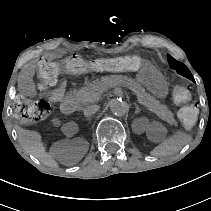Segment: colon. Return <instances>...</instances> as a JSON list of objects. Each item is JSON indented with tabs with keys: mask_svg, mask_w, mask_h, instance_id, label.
Listing matches in <instances>:
<instances>
[{
	"mask_svg": "<svg viewBox=\"0 0 211 211\" xmlns=\"http://www.w3.org/2000/svg\"><path fill=\"white\" fill-rule=\"evenodd\" d=\"M152 70V64L138 55H124L111 58L87 60L78 56L62 60L43 62L37 73L38 88L45 91L54 85L63 74H82L88 71L110 72H146ZM176 103L183 105L178 116L184 127L193 128L198 119V108L191 104V91L188 87L177 86L173 91ZM51 111L50 104L45 100H33L21 96L15 105V117L24 125H32L46 119Z\"/></svg>",
	"mask_w": 211,
	"mask_h": 211,
	"instance_id": "1",
	"label": "colon"
}]
</instances>
